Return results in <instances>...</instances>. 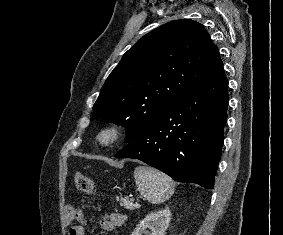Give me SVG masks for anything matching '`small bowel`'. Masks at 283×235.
Listing matches in <instances>:
<instances>
[{"instance_id": "1", "label": "small bowel", "mask_w": 283, "mask_h": 235, "mask_svg": "<svg viewBox=\"0 0 283 235\" xmlns=\"http://www.w3.org/2000/svg\"><path fill=\"white\" fill-rule=\"evenodd\" d=\"M65 220L68 224H72L69 229V235H84L83 227L79 223L81 218L78 211L73 206H66ZM126 221V215L122 213H111L105 215L100 222L103 231L111 232L121 227Z\"/></svg>"}]
</instances>
